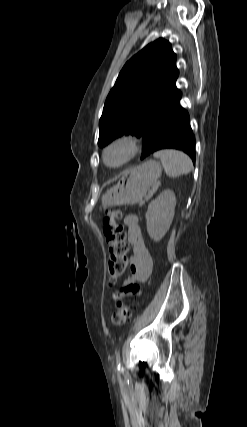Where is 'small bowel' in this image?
<instances>
[{
    "label": "small bowel",
    "instance_id": "c3829d8e",
    "mask_svg": "<svg viewBox=\"0 0 247 427\" xmlns=\"http://www.w3.org/2000/svg\"><path fill=\"white\" fill-rule=\"evenodd\" d=\"M127 228V239L132 248L130 257L131 276L123 283L122 287L114 294V299L126 295L137 296L140 293L138 283L148 279L152 271V258L145 245L138 218L129 214L124 218Z\"/></svg>",
    "mask_w": 247,
    "mask_h": 427
}]
</instances>
